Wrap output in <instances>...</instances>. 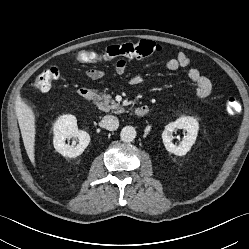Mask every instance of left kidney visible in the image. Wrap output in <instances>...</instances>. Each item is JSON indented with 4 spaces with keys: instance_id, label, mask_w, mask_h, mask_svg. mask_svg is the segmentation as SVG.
I'll use <instances>...</instances> for the list:
<instances>
[{
    "instance_id": "5707ae66",
    "label": "left kidney",
    "mask_w": 249,
    "mask_h": 249,
    "mask_svg": "<svg viewBox=\"0 0 249 249\" xmlns=\"http://www.w3.org/2000/svg\"><path fill=\"white\" fill-rule=\"evenodd\" d=\"M177 129H183L186 131V135L183 137L179 145H175L172 133ZM199 130L198 121L193 117L182 116L175 122L169 123L165 126L162 133V139L166 150L178 156L185 155L195 143Z\"/></svg>"
}]
</instances>
